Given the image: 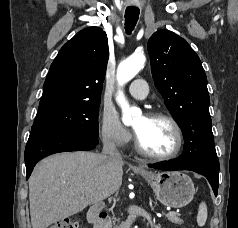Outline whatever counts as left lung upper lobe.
I'll use <instances>...</instances> for the list:
<instances>
[{"mask_svg":"<svg viewBox=\"0 0 238 228\" xmlns=\"http://www.w3.org/2000/svg\"><path fill=\"white\" fill-rule=\"evenodd\" d=\"M147 48L155 86L183 133L184 152L177 159L182 164L218 161L207 77L198 55L186 40L168 30L155 32Z\"/></svg>","mask_w":238,"mask_h":228,"instance_id":"5c2ea615","label":"left lung upper lobe"}]
</instances>
